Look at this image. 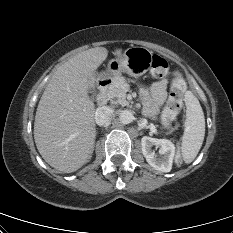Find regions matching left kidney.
<instances>
[{
  "label": "left kidney",
  "mask_w": 233,
  "mask_h": 233,
  "mask_svg": "<svg viewBox=\"0 0 233 233\" xmlns=\"http://www.w3.org/2000/svg\"><path fill=\"white\" fill-rule=\"evenodd\" d=\"M141 145L142 153L151 167L157 171L170 172L175 156V146L170 140L144 136ZM153 147L159 148L160 156L156 155Z\"/></svg>",
  "instance_id": "left-kidney-1"
}]
</instances>
